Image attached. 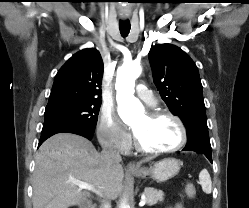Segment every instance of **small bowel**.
<instances>
[{"label":"small bowel","mask_w":249,"mask_h":208,"mask_svg":"<svg viewBox=\"0 0 249 208\" xmlns=\"http://www.w3.org/2000/svg\"><path fill=\"white\" fill-rule=\"evenodd\" d=\"M170 208H183V206L179 203H177L176 205H174L173 207H170Z\"/></svg>","instance_id":"1"}]
</instances>
